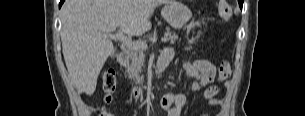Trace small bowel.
<instances>
[{
	"instance_id": "1",
	"label": "small bowel",
	"mask_w": 305,
	"mask_h": 116,
	"mask_svg": "<svg viewBox=\"0 0 305 116\" xmlns=\"http://www.w3.org/2000/svg\"><path fill=\"white\" fill-rule=\"evenodd\" d=\"M173 51L166 48L160 57L172 59ZM185 71L193 78L192 89H204V97L209 106H217L221 100L217 98L218 88L213 84L215 79V66L206 59H199L193 62H186L183 65ZM188 99L181 93H168L161 97L160 106L167 111L168 116H182ZM202 116H207L203 114Z\"/></svg>"
}]
</instances>
